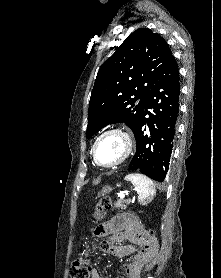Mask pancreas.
<instances>
[{"instance_id": "cf45deb5", "label": "pancreas", "mask_w": 221, "mask_h": 278, "mask_svg": "<svg viewBox=\"0 0 221 278\" xmlns=\"http://www.w3.org/2000/svg\"><path fill=\"white\" fill-rule=\"evenodd\" d=\"M130 203L128 200H118L117 202L114 203V207L117 208L118 210H125L127 208V205Z\"/></svg>"}]
</instances>
